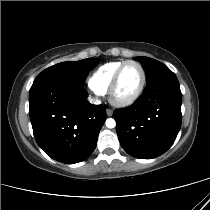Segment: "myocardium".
Instances as JSON below:
<instances>
[{
  "label": "myocardium",
  "mask_w": 210,
  "mask_h": 210,
  "mask_svg": "<svg viewBox=\"0 0 210 210\" xmlns=\"http://www.w3.org/2000/svg\"><path fill=\"white\" fill-rule=\"evenodd\" d=\"M128 64H135L139 67L140 72H141V82L139 84L138 89L131 96L124 98V99H119L115 96V92H116V89H117L119 81H120L121 73H122L123 69ZM146 79H147V77H146L145 69L140 62H138L136 60L124 61L116 70V72L112 78V81L110 83V86H109V89L107 92L110 103L117 107H126V106L133 104L143 93V90L146 85Z\"/></svg>",
  "instance_id": "f54148a6"
}]
</instances>
